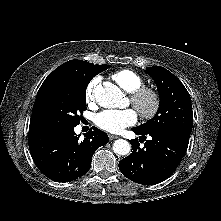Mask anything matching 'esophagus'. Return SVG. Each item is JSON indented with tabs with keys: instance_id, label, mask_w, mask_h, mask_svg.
<instances>
[{
	"instance_id": "esophagus-1",
	"label": "esophagus",
	"mask_w": 221,
	"mask_h": 221,
	"mask_svg": "<svg viewBox=\"0 0 221 221\" xmlns=\"http://www.w3.org/2000/svg\"><path fill=\"white\" fill-rule=\"evenodd\" d=\"M117 138H119V136L113 135V134H109V139L110 140H114V139H117Z\"/></svg>"
}]
</instances>
